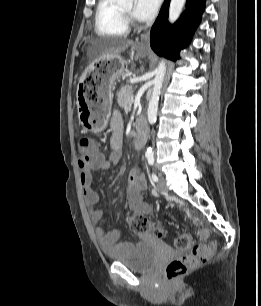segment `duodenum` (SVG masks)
Returning <instances> with one entry per match:
<instances>
[{
	"label": "duodenum",
	"instance_id": "1",
	"mask_svg": "<svg viewBox=\"0 0 261 306\" xmlns=\"http://www.w3.org/2000/svg\"><path fill=\"white\" fill-rule=\"evenodd\" d=\"M137 136L134 141V146L137 149H140L143 147L144 140L146 137V120L143 116H139L134 121Z\"/></svg>",
	"mask_w": 261,
	"mask_h": 306
}]
</instances>
